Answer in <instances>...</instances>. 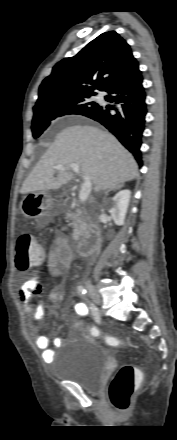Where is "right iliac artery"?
Here are the masks:
<instances>
[{
    "label": "right iliac artery",
    "mask_w": 177,
    "mask_h": 440,
    "mask_svg": "<svg viewBox=\"0 0 177 440\" xmlns=\"http://www.w3.org/2000/svg\"><path fill=\"white\" fill-rule=\"evenodd\" d=\"M77 290H78V292L81 295H85L86 294V289L83 286H81V285L77 287ZM90 309L92 311V315H93L96 323L100 324L101 319H100V314H99L97 308H95V306L93 304H91L90 305Z\"/></svg>",
    "instance_id": "1"
}]
</instances>
